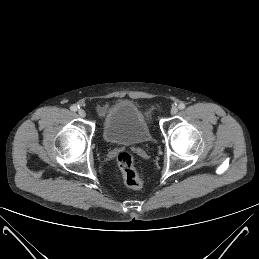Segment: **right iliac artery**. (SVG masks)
<instances>
[{
  "mask_svg": "<svg viewBox=\"0 0 259 259\" xmlns=\"http://www.w3.org/2000/svg\"><path fill=\"white\" fill-rule=\"evenodd\" d=\"M71 111L76 112L78 110L77 106L73 105L70 107Z\"/></svg>",
  "mask_w": 259,
  "mask_h": 259,
  "instance_id": "1",
  "label": "right iliac artery"
}]
</instances>
